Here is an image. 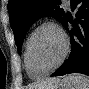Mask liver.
<instances>
[{
	"label": "liver",
	"instance_id": "1",
	"mask_svg": "<svg viewBox=\"0 0 89 89\" xmlns=\"http://www.w3.org/2000/svg\"><path fill=\"white\" fill-rule=\"evenodd\" d=\"M59 80L60 79H58V78H48V79H45V80L35 84L32 87H36V89L46 88V87H48L50 85L57 84L59 82Z\"/></svg>",
	"mask_w": 89,
	"mask_h": 89
}]
</instances>
